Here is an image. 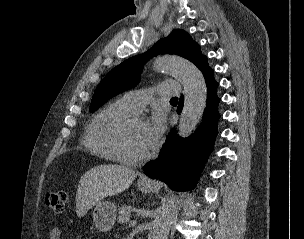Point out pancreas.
Wrapping results in <instances>:
<instances>
[{
    "mask_svg": "<svg viewBox=\"0 0 304 239\" xmlns=\"http://www.w3.org/2000/svg\"><path fill=\"white\" fill-rule=\"evenodd\" d=\"M131 218V206L123 205L119 208L118 223L123 224L130 221Z\"/></svg>",
    "mask_w": 304,
    "mask_h": 239,
    "instance_id": "cf45deb5",
    "label": "pancreas"
}]
</instances>
